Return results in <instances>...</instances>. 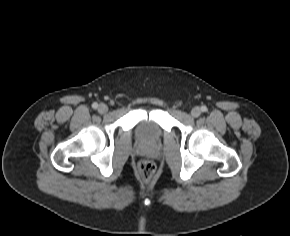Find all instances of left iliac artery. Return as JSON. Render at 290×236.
I'll return each instance as SVG.
<instances>
[{"label": "left iliac artery", "instance_id": "1", "mask_svg": "<svg viewBox=\"0 0 290 236\" xmlns=\"http://www.w3.org/2000/svg\"><path fill=\"white\" fill-rule=\"evenodd\" d=\"M201 110H202V112H206L208 109H207L206 106H202V107H201Z\"/></svg>", "mask_w": 290, "mask_h": 236}]
</instances>
